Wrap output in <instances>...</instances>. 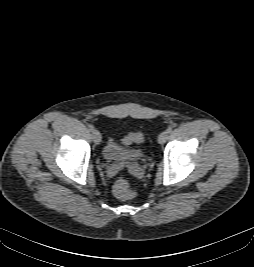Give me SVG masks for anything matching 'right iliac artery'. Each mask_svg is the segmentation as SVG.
<instances>
[{"label": "right iliac artery", "instance_id": "right-iliac-artery-1", "mask_svg": "<svg viewBox=\"0 0 254 267\" xmlns=\"http://www.w3.org/2000/svg\"><path fill=\"white\" fill-rule=\"evenodd\" d=\"M88 128H89L90 131H93L94 130V126L91 125V124L88 125Z\"/></svg>", "mask_w": 254, "mask_h": 267}]
</instances>
